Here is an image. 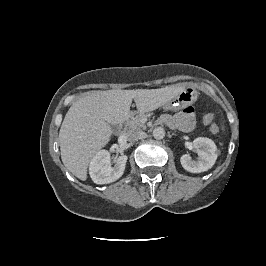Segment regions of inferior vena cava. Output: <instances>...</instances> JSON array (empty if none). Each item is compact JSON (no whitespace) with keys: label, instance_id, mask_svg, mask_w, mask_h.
<instances>
[{"label":"inferior vena cava","instance_id":"inferior-vena-cava-1","mask_svg":"<svg viewBox=\"0 0 266 266\" xmlns=\"http://www.w3.org/2000/svg\"><path fill=\"white\" fill-rule=\"evenodd\" d=\"M145 132L142 130H129L127 132V137L130 141H137L145 137Z\"/></svg>","mask_w":266,"mask_h":266}]
</instances>
